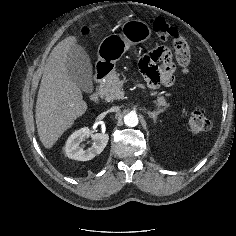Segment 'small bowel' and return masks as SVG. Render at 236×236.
Instances as JSON below:
<instances>
[{
	"label": "small bowel",
	"instance_id": "1",
	"mask_svg": "<svg viewBox=\"0 0 236 236\" xmlns=\"http://www.w3.org/2000/svg\"><path fill=\"white\" fill-rule=\"evenodd\" d=\"M176 56L181 71L186 73L190 62L189 50L180 54L176 53ZM140 69L150 88L160 85L168 87L174 82L176 64L173 61L172 53L165 47H158L145 55L140 61Z\"/></svg>",
	"mask_w": 236,
	"mask_h": 236
}]
</instances>
